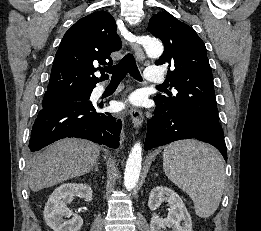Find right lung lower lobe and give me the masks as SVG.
<instances>
[{
	"mask_svg": "<svg viewBox=\"0 0 261 231\" xmlns=\"http://www.w3.org/2000/svg\"><path fill=\"white\" fill-rule=\"evenodd\" d=\"M104 103L80 100L40 110L31 131L32 152L65 137L84 138L111 148L119 146L122 122L110 113L96 112Z\"/></svg>",
	"mask_w": 261,
	"mask_h": 231,
	"instance_id": "98d812e1",
	"label": "right lung lower lobe"
}]
</instances>
